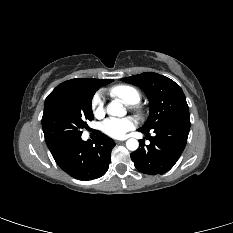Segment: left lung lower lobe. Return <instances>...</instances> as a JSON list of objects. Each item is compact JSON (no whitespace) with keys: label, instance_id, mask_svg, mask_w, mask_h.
Segmentation results:
<instances>
[{"label":"left lung lower lobe","instance_id":"0a47b994","mask_svg":"<svg viewBox=\"0 0 233 233\" xmlns=\"http://www.w3.org/2000/svg\"><path fill=\"white\" fill-rule=\"evenodd\" d=\"M190 129V117L168 121L153 129L154 137L150 144L141 141L140 148L131 153L135 167L149 175L164 174L169 171L181 156ZM144 134L149 131L141 130ZM149 135V134H148Z\"/></svg>","mask_w":233,"mask_h":233}]
</instances>
